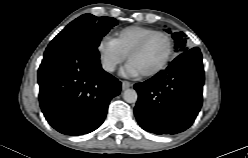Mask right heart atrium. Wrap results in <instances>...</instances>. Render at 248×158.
<instances>
[{"label":"right heart atrium","mask_w":248,"mask_h":158,"mask_svg":"<svg viewBox=\"0 0 248 158\" xmlns=\"http://www.w3.org/2000/svg\"><path fill=\"white\" fill-rule=\"evenodd\" d=\"M97 52L102 68L110 73L114 72L127 57L116 43L109 38H103L98 42Z\"/></svg>","instance_id":"obj_1"}]
</instances>
